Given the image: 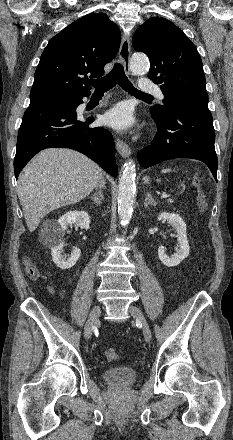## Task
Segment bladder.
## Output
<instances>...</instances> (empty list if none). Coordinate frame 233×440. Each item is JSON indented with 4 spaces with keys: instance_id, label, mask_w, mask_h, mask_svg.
<instances>
[{
    "instance_id": "31cf9c89",
    "label": "bladder",
    "mask_w": 233,
    "mask_h": 440,
    "mask_svg": "<svg viewBox=\"0 0 233 440\" xmlns=\"http://www.w3.org/2000/svg\"><path fill=\"white\" fill-rule=\"evenodd\" d=\"M104 381L115 387H129L136 378L137 372L130 367H117L105 370L102 373Z\"/></svg>"
}]
</instances>
